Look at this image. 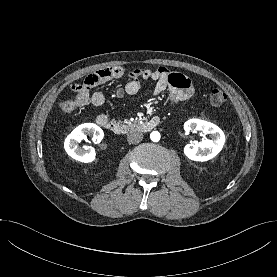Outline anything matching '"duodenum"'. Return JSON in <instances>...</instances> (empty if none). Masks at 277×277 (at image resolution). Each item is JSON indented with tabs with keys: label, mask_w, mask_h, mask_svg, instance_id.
Here are the masks:
<instances>
[{
	"label": "duodenum",
	"mask_w": 277,
	"mask_h": 277,
	"mask_svg": "<svg viewBox=\"0 0 277 277\" xmlns=\"http://www.w3.org/2000/svg\"><path fill=\"white\" fill-rule=\"evenodd\" d=\"M158 124H159V118L153 117L150 120L144 122L141 125V129L145 132H148L153 128H155ZM98 125H100L102 128L109 130L114 134H122L124 132V128L119 123L113 120H110L108 118L100 119L98 121Z\"/></svg>",
	"instance_id": "1"
}]
</instances>
